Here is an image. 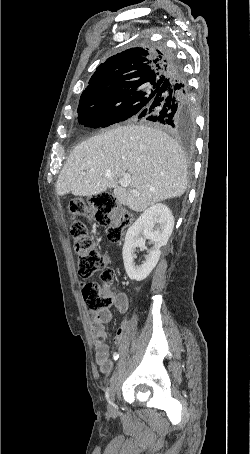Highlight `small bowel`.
I'll use <instances>...</instances> for the list:
<instances>
[{
	"instance_id": "c3829d8e",
	"label": "small bowel",
	"mask_w": 250,
	"mask_h": 454,
	"mask_svg": "<svg viewBox=\"0 0 250 454\" xmlns=\"http://www.w3.org/2000/svg\"><path fill=\"white\" fill-rule=\"evenodd\" d=\"M85 284H82L84 286ZM114 306L122 313L128 311L130 299L124 292L116 291L114 293ZM111 320V313L108 310L93 312L91 314L90 326L93 334L95 360L100 372L109 373L113 368V362L110 359L109 347L106 344L107 333L105 325ZM128 321H124L118 329L114 341L120 345L126 333Z\"/></svg>"
}]
</instances>
